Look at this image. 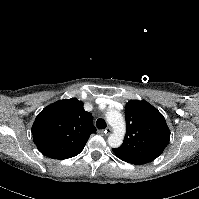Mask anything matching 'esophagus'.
Instances as JSON below:
<instances>
[{"instance_id":"esophagus-1","label":"esophagus","mask_w":199,"mask_h":199,"mask_svg":"<svg viewBox=\"0 0 199 199\" xmlns=\"http://www.w3.org/2000/svg\"><path fill=\"white\" fill-rule=\"evenodd\" d=\"M103 132L105 133V135L108 136L109 134H111L112 129H111V127H107Z\"/></svg>"}]
</instances>
